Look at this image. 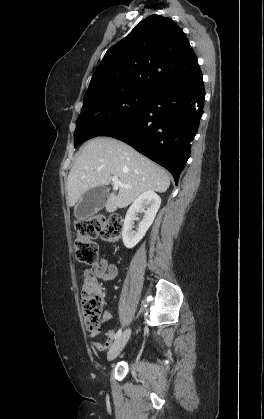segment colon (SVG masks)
Segmentation results:
<instances>
[{
    "instance_id": "1",
    "label": "colon",
    "mask_w": 264,
    "mask_h": 419,
    "mask_svg": "<svg viewBox=\"0 0 264 419\" xmlns=\"http://www.w3.org/2000/svg\"><path fill=\"white\" fill-rule=\"evenodd\" d=\"M76 239L74 253L76 259L85 264H94L98 260L99 247L95 239L101 237L109 243L119 241L123 223L118 215L95 216L77 220L75 223ZM104 307V293L99 283L93 279L84 280L81 291V308L85 325L91 332L101 330V314Z\"/></svg>"
}]
</instances>
